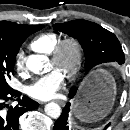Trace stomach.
<instances>
[{
  "label": "stomach",
  "instance_id": "0dacf381",
  "mask_svg": "<svg viewBox=\"0 0 130 130\" xmlns=\"http://www.w3.org/2000/svg\"><path fill=\"white\" fill-rule=\"evenodd\" d=\"M114 98L113 78L108 72L97 70L83 84L81 95L75 103L73 112L82 121H97L110 111Z\"/></svg>",
  "mask_w": 130,
  "mask_h": 130
}]
</instances>
